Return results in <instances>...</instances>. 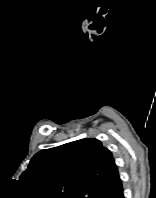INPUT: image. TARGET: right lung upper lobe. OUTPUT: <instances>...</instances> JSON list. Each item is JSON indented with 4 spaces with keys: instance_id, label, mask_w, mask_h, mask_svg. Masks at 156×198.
<instances>
[{
    "instance_id": "1",
    "label": "right lung upper lobe",
    "mask_w": 156,
    "mask_h": 198,
    "mask_svg": "<svg viewBox=\"0 0 156 198\" xmlns=\"http://www.w3.org/2000/svg\"><path fill=\"white\" fill-rule=\"evenodd\" d=\"M20 180L39 198H112L123 189L112 153L93 138L38 152Z\"/></svg>"
}]
</instances>
